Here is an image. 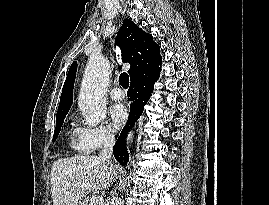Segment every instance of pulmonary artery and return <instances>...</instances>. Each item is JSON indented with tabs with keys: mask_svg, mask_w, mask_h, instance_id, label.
<instances>
[{
	"mask_svg": "<svg viewBox=\"0 0 269 205\" xmlns=\"http://www.w3.org/2000/svg\"><path fill=\"white\" fill-rule=\"evenodd\" d=\"M110 97L115 101H121L125 98V93L120 88H114L110 91Z\"/></svg>",
	"mask_w": 269,
	"mask_h": 205,
	"instance_id": "e3ab8cb5",
	"label": "pulmonary artery"
}]
</instances>
